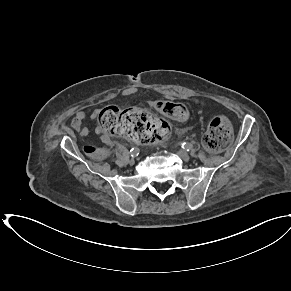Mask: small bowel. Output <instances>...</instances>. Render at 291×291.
Wrapping results in <instances>:
<instances>
[{"mask_svg": "<svg viewBox=\"0 0 291 291\" xmlns=\"http://www.w3.org/2000/svg\"><path fill=\"white\" fill-rule=\"evenodd\" d=\"M193 101L199 105H205V102L201 99H193ZM86 118H87L86 112L78 110L75 112L74 117L72 118L71 121L72 129L77 131L79 135L83 138L87 137L90 133L89 129L83 125ZM96 132L100 133V130L96 129ZM100 140L102 141V143L106 145L112 144V139L106 134H101Z\"/></svg>", "mask_w": 291, "mask_h": 291, "instance_id": "obj_1", "label": "small bowel"}]
</instances>
